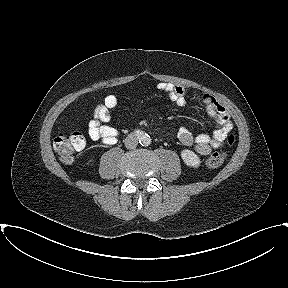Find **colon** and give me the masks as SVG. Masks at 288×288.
I'll return each instance as SVG.
<instances>
[{
    "instance_id": "5ec220e1",
    "label": "colon",
    "mask_w": 288,
    "mask_h": 288,
    "mask_svg": "<svg viewBox=\"0 0 288 288\" xmlns=\"http://www.w3.org/2000/svg\"><path fill=\"white\" fill-rule=\"evenodd\" d=\"M229 146L235 142V136L230 134L226 138ZM86 144L84 135L80 131L62 132L54 139V150L60 160L64 163H70L74 160L75 154L81 151ZM226 159V152H216L205 161L207 168L216 169L220 167Z\"/></svg>"
}]
</instances>
